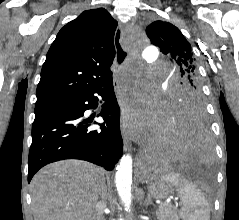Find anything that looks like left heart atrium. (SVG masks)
Segmentation results:
<instances>
[{
    "label": "left heart atrium",
    "instance_id": "left-heart-atrium-1",
    "mask_svg": "<svg viewBox=\"0 0 239 220\" xmlns=\"http://www.w3.org/2000/svg\"><path fill=\"white\" fill-rule=\"evenodd\" d=\"M129 125L133 128H143L148 125L147 123L142 121V118L136 113H130L128 118Z\"/></svg>",
    "mask_w": 239,
    "mask_h": 220
}]
</instances>
